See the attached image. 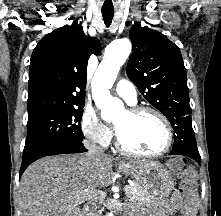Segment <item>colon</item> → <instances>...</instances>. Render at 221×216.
Returning <instances> with one entry per match:
<instances>
[{
  "mask_svg": "<svg viewBox=\"0 0 221 216\" xmlns=\"http://www.w3.org/2000/svg\"><path fill=\"white\" fill-rule=\"evenodd\" d=\"M170 166L174 171L180 173L183 178L180 186V192L184 194L187 200H193L195 197L196 184L193 176L188 175L184 171L185 160L182 158L173 159L170 162Z\"/></svg>",
  "mask_w": 221,
  "mask_h": 216,
  "instance_id": "1",
  "label": "colon"
}]
</instances>
